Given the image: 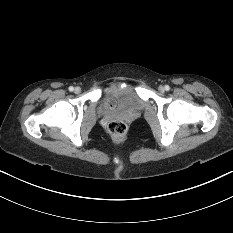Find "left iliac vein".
Wrapping results in <instances>:
<instances>
[{
	"label": "left iliac vein",
	"instance_id": "1",
	"mask_svg": "<svg viewBox=\"0 0 233 233\" xmlns=\"http://www.w3.org/2000/svg\"><path fill=\"white\" fill-rule=\"evenodd\" d=\"M158 89H159L160 92H164L165 91V88L163 86H159Z\"/></svg>",
	"mask_w": 233,
	"mask_h": 233
}]
</instances>
